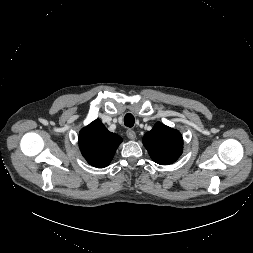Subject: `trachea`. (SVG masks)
<instances>
[{
  "mask_svg": "<svg viewBox=\"0 0 253 253\" xmlns=\"http://www.w3.org/2000/svg\"><path fill=\"white\" fill-rule=\"evenodd\" d=\"M134 123H135L134 116L131 113H127L125 115V117H124V124H125V126L131 128V127H133Z\"/></svg>",
  "mask_w": 253,
  "mask_h": 253,
  "instance_id": "trachea-1",
  "label": "trachea"
}]
</instances>
